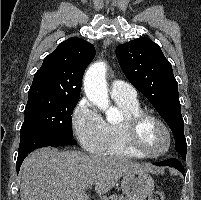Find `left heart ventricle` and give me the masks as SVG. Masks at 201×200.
<instances>
[{"label": "left heart ventricle", "instance_id": "left-heart-ventricle-1", "mask_svg": "<svg viewBox=\"0 0 201 200\" xmlns=\"http://www.w3.org/2000/svg\"><path fill=\"white\" fill-rule=\"evenodd\" d=\"M140 147L148 153H159L166 147L164 131L156 123L146 121L138 133Z\"/></svg>", "mask_w": 201, "mask_h": 200}]
</instances>
